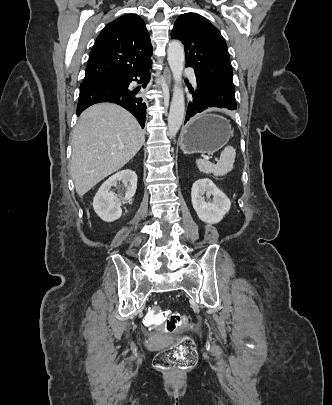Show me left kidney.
<instances>
[{
  "instance_id": "1",
  "label": "left kidney",
  "mask_w": 332,
  "mask_h": 405,
  "mask_svg": "<svg viewBox=\"0 0 332 405\" xmlns=\"http://www.w3.org/2000/svg\"><path fill=\"white\" fill-rule=\"evenodd\" d=\"M211 195L213 200L206 201ZM191 201L199 219L208 224L219 223L231 208L229 198L219 190L210 179H199L194 182L191 190Z\"/></svg>"
}]
</instances>
